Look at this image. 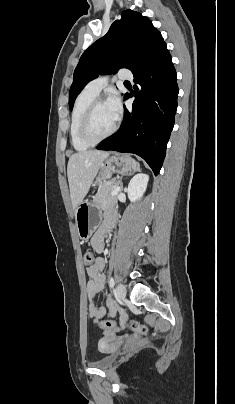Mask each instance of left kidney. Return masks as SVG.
Here are the masks:
<instances>
[{
    "mask_svg": "<svg viewBox=\"0 0 235 404\" xmlns=\"http://www.w3.org/2000/svg\"><path fill=\"white\" fill-rule=\"evenodd\" d=\"M149 176L144 173L135 175L128 184L127 194L130 201L135 202L143 196L146 191Z\"/></svg>",
    "mask_w": 235,
    "mask_h": 404,
    "instance_id": "1",
    "label": "left kidney"
}]
</instances>
